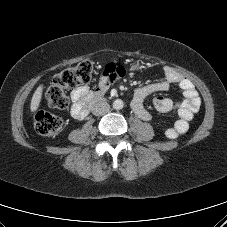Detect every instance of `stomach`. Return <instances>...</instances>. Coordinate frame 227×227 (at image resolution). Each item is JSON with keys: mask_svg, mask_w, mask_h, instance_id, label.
I'll use <instances>...</instances> for the list:
<instances>
[{"mask_svg": "<svg viewBox=\"0 0 227 227\" xmlns=\"http://www.w3.org/2000/svg\"><path fill=\"white\" fill-rule=\"evenodd\" d=\"M142 68H144L143 64L139 63L138 61L132 64L133 70H139V69H142Z\"/></svg>", "mask_w": 227, "mask_h": 227, "instance_id": "1", "label": "stomach"}]
</instances>
